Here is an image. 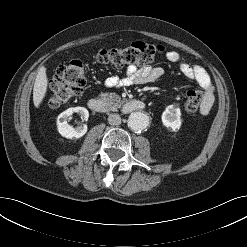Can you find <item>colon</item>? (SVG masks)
Instances as JSON below:
<instances>
[{
  "mask_svg": "<svg viewBox=\"0 0 247 247\" xmlns=\"http://www.w3.org/2000/svg\"><path fill=\"white\" fill-rule=\"evenodd\" d=\"M164 51L160 45L135 42L125 48L100 50L97 61L102 65L123 67L124 65H145L154 61ZM87 78L82 61L72 60L60 65L50 83L49 104L59 106L79 96ZM202 95L198 90L190 89L185 94L184 109L187 113H195L201 105Z\"/></svg>",
  "mask_w": 247,
  "mask_h": 247,
  "instance_id": "colon-1",
  "label": "colon"
}]
</instances>
